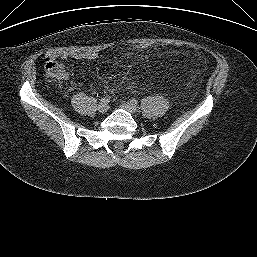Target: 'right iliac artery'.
I'll list each match as a JSON object with an SVG mask.
<instances>
[{
    "instance_id": "obj_1",
    "label": "right iliac artery",
    "mask_w": 257,
    "mask_h": 257,
    "mask_svg": "<svg viewBox=\"0 0 257 257\" xmlns=\"http://www.w3.org/2000/svg\"><path fill=\"white\" fill-rule=\"evenodd\" d=\"M100 101H101V102H103V103L108 104V103L110 102V97H108V96L103 97V98H101V100H100Z\"/></svg>"
}]
</instances>
